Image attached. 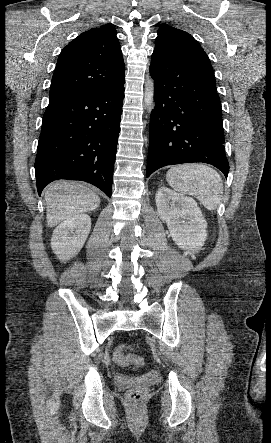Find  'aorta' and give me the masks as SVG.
<instances>
[{"label": "aorta", "mask_w": 271, "mask_h": 443, "mask_svg": "<svg viewBox=\"0 0 271 443\" xmlns=\"http://www.w3.org/2000/svg\"><path fill=\"white\" fill-rule=\"evenodd\" d=\"M144 104H145V110H147V114H151L152 110H154L155 108L153 80H147L145 84Z\"/></svg>", "instance_id": "762f6f07"}]
</instances>
